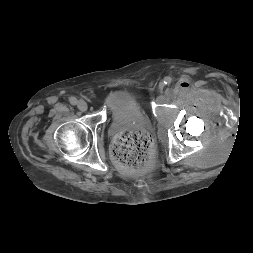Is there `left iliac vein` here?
Wrapping results in <instances>:
<instances>
[{
    "label": "left iliac vein",
    "mask_w": 253,
    "mask_h": 253,
    "mask_svg": "<svg viewBox=\"0 0 253 253\" xmlns=\"http://www.w3.org/2000/svg\"><path fill=\"white\" fill-rule=\"evenodd\" d=\"M164 86H165V84H164L163 82H161V83L159 84L160 90H163Z\"/></svg>",
    "instance_id": "left-iliac-vein-1"
}]
</instances>
